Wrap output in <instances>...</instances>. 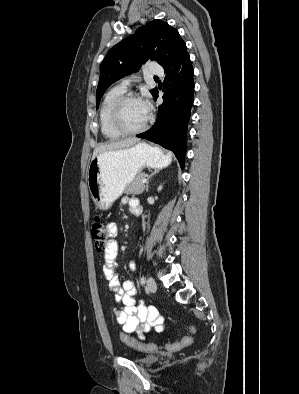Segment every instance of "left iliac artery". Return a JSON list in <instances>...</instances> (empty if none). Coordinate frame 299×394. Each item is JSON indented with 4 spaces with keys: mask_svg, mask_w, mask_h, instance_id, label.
I'll return each mask as SVG.
<instances>
[{
    "mask_svg": "<svg viewBox=\"0 0 299 394\" xmlns=\"http://www.w3.org/2000/svg\"><path fill=\"white\" fill-rule=\"evenodd\" d=\"M145 282H146V279H145V277H141V279H140V283L143 285V284H145Z\"/></svg>",
    "mask_w": 299,
    "mask_h": 394,
    "instance_id": "44dca946",
    "label": "left iliac artery"
}]
</instances>
